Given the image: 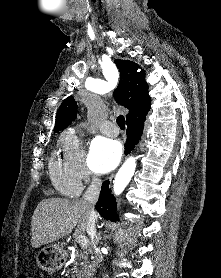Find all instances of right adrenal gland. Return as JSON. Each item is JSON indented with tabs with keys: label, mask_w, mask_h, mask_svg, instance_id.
<instances>
[{
	"label": "right adrenal gland",
	"mask_w": 221,
	"mask_h": 278,
	"mask_svg": "<svg viewBox=\"0 0 221 278\" xmlns=\"http://www.w3.org/2000/svg\"><path fill=\"white\" fill-rule=\"evenodd\" d=\"M97 240H101V232L98 233Z\"/></svg>",
	"instance_id": "right-adrenal-gland-1"
}]
</instances>
